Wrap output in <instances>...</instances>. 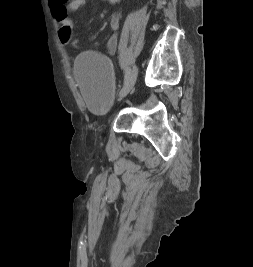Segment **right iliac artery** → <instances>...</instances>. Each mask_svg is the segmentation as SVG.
<instances>
[{"label":"right iliac artery","instance_id":"right-iliac-artery-1","mask_svg":"<svg viewBox=\"0 0 253 267\" xmlns=\"http://www.w3.org/2000/svg\"><path fill=\"white\" fill-rule=\"evenodd\" d=\"M130 73H131V69H130V68L125 69V82H126L127 79L129 78Z\"/></svg>","mask_w":253,"mask_h":267}]
</instances>
